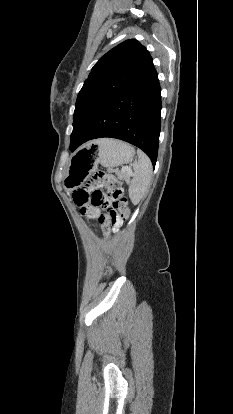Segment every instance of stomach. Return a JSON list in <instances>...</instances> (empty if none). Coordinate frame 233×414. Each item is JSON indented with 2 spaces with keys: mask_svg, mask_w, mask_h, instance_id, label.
I'll use <instances>...</instances> for the list:
<instances>
[{
  "mask_svg": "<svg viewBox=\"0 0 233 414\" xmlns=\"http://www.w3.org/2000/svg\"><path fill=\"white\" fill-rule=\"evenodd\" d=\"M134 155V148L125 142L114 139L93 141L71 155L63 185L68 191L77 189L97 170L98 164L113 169L132 162Z\"/></svg>",
  "mask_w": 233,
  "mask_h": 414,
  "instance_id": "1",
  "label": "stomach"
}]
</instances>
